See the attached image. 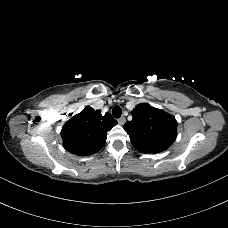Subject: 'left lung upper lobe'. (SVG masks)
<instances>
[{
  "mask_svg": "<svg viewBox=\"0 0 228 228\" xmlns=\"http://www.w3.org/2000/svg\"><path fill=\"white\" fill-rule=\"evenodd\" d=\"M133 119L124 125L133 146L142 153H159L168 149L177 137L176 119L149 104H138Z\"/></svg>",
  "mask_w": 228,
  "mask_h": 228,
  "instance_id": "obj_1",
  "label": "left lung upper lobe"
}]
</instances>
